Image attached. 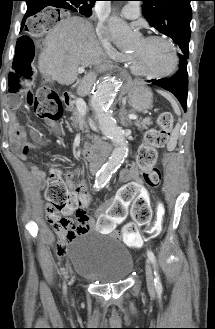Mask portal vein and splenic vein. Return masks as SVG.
Masks as SVG:
<instances>
[{
  "label": "portal vein and splenic vein",
  "mask_w": 215,
  "mask_h": 329,
  "mask_svg": "<svg viewBox=\"0 0 215 329\" xmlns=\"http://www.w3.org/2000/svg\"><path fill=\"white\" fill-rule=\"evenodd\" d=\"M77 71H78V73H83L85 71V67H79L77 69ZM75 104H76L77 110L79 111L81 116H85L86 111H87V106H86L85 101L81 98H77L75 101ZM128 117L130 120H137V118H138L136 115H133V114L128 115Z\"/></svg>",
  "instance_id": "obj_1"
}]
</instances>
